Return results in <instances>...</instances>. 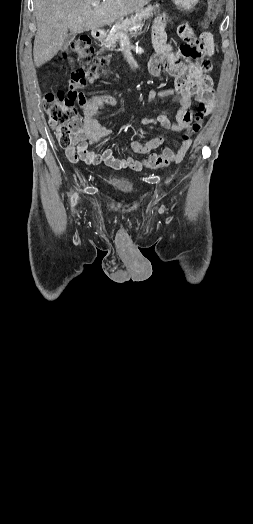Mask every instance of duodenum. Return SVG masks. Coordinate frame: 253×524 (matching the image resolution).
I'll use <instances>...</instances> for the list:
<instances>
[{
  "label": "duodenum",
  "mask_w": 253,
  "mask_h": 524,
  "mask_svg": "<svg viewBox=\"0 0 253 524\" xmlns=\"http://www.w3.org/2000/svg\"><path fill=\"white\" fill-rule=\"evenodd\" d=\"M92 36L96 39V40H100L103 36H104V32L100 29H95L92 31Z\"/></svg>",
  "instance_id": "duodenum-1"
}]
</instances>
